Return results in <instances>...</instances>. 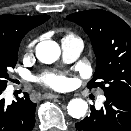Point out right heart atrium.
<instances>
[{
	"instance_id": "right-heart-atrium-1",
	"label": "right heart atrium",
	"mask_w": 131,
	"mask_h": 131,
	"mask_svg": "<svg viewBox=\"0 0 131 131\" xmlns=\"http://www.w3.org/2000/svg\"><path fill=\"white\" fill-rule=\"evenodd\" d=\"M33 45H34V41H30V42L27 44L26 50H27V51H30V50L33 48Z\"/></svg>"
}]
</instances>
